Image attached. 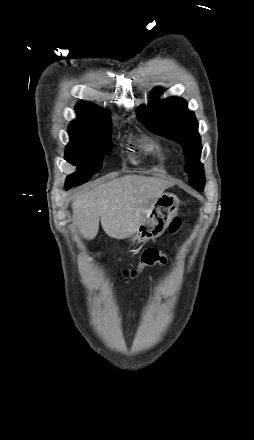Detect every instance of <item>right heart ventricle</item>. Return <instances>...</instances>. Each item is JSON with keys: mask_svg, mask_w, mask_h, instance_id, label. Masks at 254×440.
<instances>
[{"mask_svg": "<svg viewBox=\"0 0 254 440\" xmlns=\"http://www.w3.org/2000/svg\"><path fill=\"white\" fill-rule=\"evenodd\" d=\"M140 148L145 153L153 154L158 158L162 157L164 153L163 145L159 141L150 137H145L144 139L140 140Z\"/></svg>", "mask_w": 254, "mask_h": 440, "instance_id": "e07e8e85", "label": "right heart ventricle"}]
</instances>
